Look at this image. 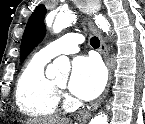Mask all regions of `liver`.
Here are the masks:
<instances>
[{"label":"liver","instance_id":"1","mask_svg":"<svg viewBox=\"0 0 145 124\" xmlns=\"http://www.w3.org/2000/svg\"><path fill=\"white\" fill-rule=\"evenodd\" d=\"M24 124H71L66 118H33L28 119Z\"/></svg>","mask_w":145,"mask_h":124}]
</instances>
